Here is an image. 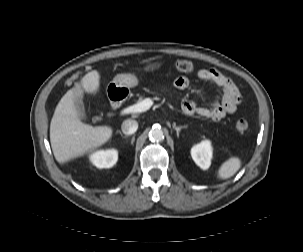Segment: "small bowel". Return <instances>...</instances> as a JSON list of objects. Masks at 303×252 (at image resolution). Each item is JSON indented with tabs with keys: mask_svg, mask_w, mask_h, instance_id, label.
Listing matches in <instances>:
<instances>
[{
	"mask_svg": "<svg viewBox=\"0 0 303 252\" xmlns=\"http://www.w3.org/2000/svg\"><path fill=\"white\" fill-rule=\"evenodd\" d=\"M196 78L209 82L216 89H219L221 94L214 99L210 106H200L192 100H184L181 104V110L184 114L198 115L219 121L227 114L235 112L237 105L242 101V94L231 79L210 68L198 70ZM190 84L191 78L186 76L177 77L173 82L174 87L178 90H184Z\"/></svg>",
	"mask_w": 303,
	"mask_h": 252,
	"instance_id": "1",
	"label": "small bowel"
}]
</instances>
